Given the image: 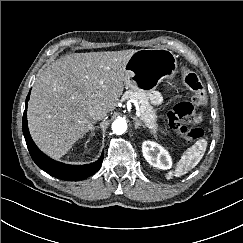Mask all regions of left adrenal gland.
<instances>
[{
    "instance_id": "left-adrenal-gland-1",
    "label": "left adrenal gland",
    "mask_w": 243,
    "mask_h": 243,
    "mask_svg": "<svg viewBox=\"0 0 243 243\" xmlns=\"http://www.w3.org/2000/svg\"><path fill=\"white\" fill-rule=\"evenodd\" d=\"M133 120L135 123V129L139 128L140 126H143L145 128V125H143L137 117H134Z\"/></svg>"
}]
</instances>
